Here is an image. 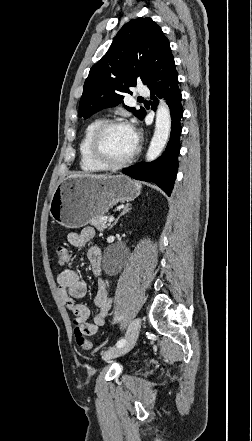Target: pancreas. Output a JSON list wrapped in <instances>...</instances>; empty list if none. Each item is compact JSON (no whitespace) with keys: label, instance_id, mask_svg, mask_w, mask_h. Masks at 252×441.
<instances>
[{"label":"pancreas","instance_id":"pancreas-1","mask_svg":"<svg viewBox=\"0 0 252 441\" xmlns=\"http://www.w3.org/2000/svg\"><path fill=\"white\" fill-rule=\"evenodd\" d=\"M91 225H93L98 231L102 232L104 229L107 228V226L109 225L107 223L106 219H103L101 217L99 218H93L90 220L89 222Z\"/></svg>","mask_w":252,"mask_h":441}]
</instances>
